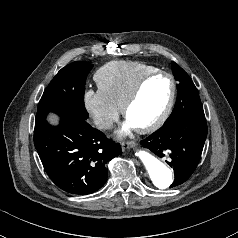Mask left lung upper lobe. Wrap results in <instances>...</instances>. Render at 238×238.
I'll return each mask as SVG.
<instances>
[{"label": "left lung upper lobe", "instance_id": "5c2ea615", "mask_svg": "<svg viewBox=\"0 0 238 238\" xmlns=\"http://www.w3.org/2000/svg\"><path fill=\"white\" fill-rule=\"evenodd\" d=\"M177 84V101L170 117L164 124L184 116H204L198 91L188 74L175 62H171Z\"/></svg>", "mask_w": 238, "mask_h": 238}]
</instances>
